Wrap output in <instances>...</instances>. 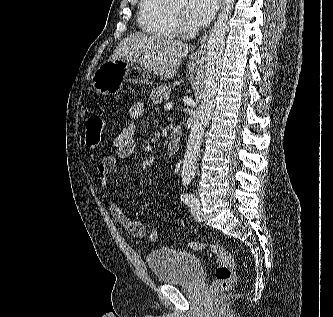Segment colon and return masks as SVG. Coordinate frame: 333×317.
Segmentation results:
<instances>
[{
	"mask_svg": "<svg viewBox=\"0 0 333 317\" xmlns=\"http://www.w3.org/2000/svg\"><path fill=\"white\" fill-rule=\"evenodd\" d=\"M104 131V120L98 110L91 111L85 123V140L90 149H96L102 142ZM158 238L156 228H152L149 233V240L155 242ZM187 246L196 251H208L218 260L215 270V282L212 286L213 291H222L231 288L236 280L235 265L231 254L222 246L203 243L188 242Z\"/></svg>",
	"mask_w": 333,
	"mask_h": 317,
	"instance_id": "1",
	"label": "colon"
}]
</instances>
